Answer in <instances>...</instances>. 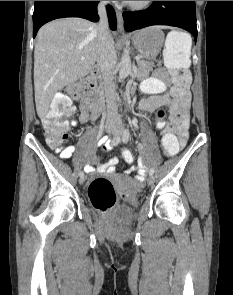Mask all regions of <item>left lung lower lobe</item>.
<instances>
[{
	"label": "left lung lower lobe",
	"mask_w": 233,
	"mask_h": 295,
	"mask_svg": "<svg viewBox=\"0 0 233 295\" xmlns=\"http://www.w3.org/2000/svg\"><path fill=\"white\" fill-rule=\"evenodd\" d=\"M127 32L151 25H170L189 31L197 40L195 1H154L146 10L124 12Z\"/></svg>",
	"instance_id": "1"
}]
</instances>
